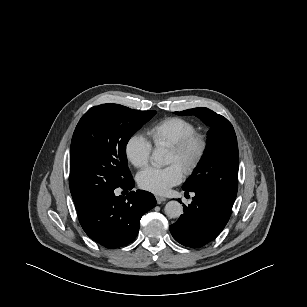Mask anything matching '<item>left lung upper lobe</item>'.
<instances>
[{
	"mask_svg": "<svg viewBox=\"0 0 307 307\" xmlns=\"http://www.w3.org/2000/svg\"><path fill=\"white\" fill-rule=\"evenodd\" d=\"M177 115H196L210 126L207 147L198 167L183 185L184 191H207L232 207L238 190L239 154L231 123L208 108H193Z\"/></svg>",
	"mask_w": 307,
	"mask_h": 307,
	"instance_id": "left-lung-upper-lobe-1",
	"label": "left lung upper lobe"
}]
</instances>
